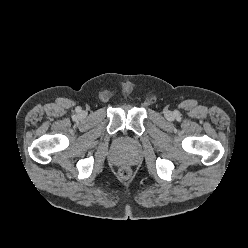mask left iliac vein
<instances>
[{
	"instance_id": "1",
	"label": "left iliac vein",
	"mask_w": 248,
	"mask_h": 248,
	"mask_svg": "<svg viewBox=\"0 0 248 248\" xmlns=\"http://www.w3.org/2000/svg\"><path fill=\"white\" fill-rule=\"evenodd\" d=\"M171 116H172V113H171L170 111H167V112H166V117H167V118H171Z\"/></svg>"
}]
</instances>
